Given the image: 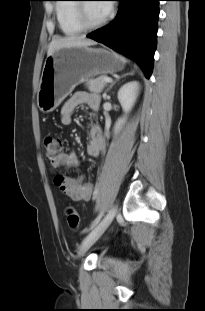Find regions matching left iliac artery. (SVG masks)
Returning a JSON list of instances; mask_svg holds the SVG:
<instances>
[{
    "instance_id": "obj_1",
    "label": "left iliac artery",
    "mask_w": 205,
    "mask_h": 311,
    "mask_svg": "<svg viewBox=\"0 0 205 311\" xmlns=\"http://www.w3.org/2000/svg\"><path fill=\"white\" fill-rule=\"evenodd\" d=\"M104 212H100V214L96 217V219L94 220V222L92 223L91 227H93L94 225H96L102 218Z\"/></svg>"
}]
</instances>
